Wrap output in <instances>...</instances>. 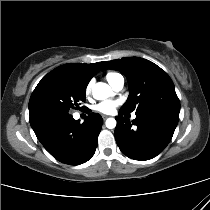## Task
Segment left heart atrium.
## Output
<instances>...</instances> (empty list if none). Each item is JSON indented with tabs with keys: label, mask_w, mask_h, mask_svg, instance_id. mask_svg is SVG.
I'll use <instances>...</instances> for the list:
<instances>
[{
	"label": "left heart atrium",
	"mask_w": 210,
	"mask_h": 210,
	"mask_svg": "<svg viewBox=\"0 0 210 210\" xmlns=\"http://www.w3.org/2000/svg\"><path fill=\"white\" fill-rule=\"evenodd\" d=\"M117 105L118 103L116 101L106 100L95 104L93 106V110L101 114H112L115 111Z\"/></svg>",
	"instance_id": "left-heart-atrium-1"
}]
</instances>
